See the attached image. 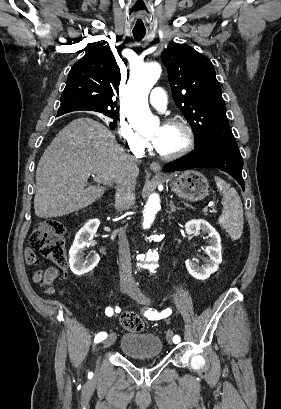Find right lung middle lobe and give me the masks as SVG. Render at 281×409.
<instances>
[{"label": "right lung middle lobe", "mask_w": 281, "mask_h": 409, "mask_svg": "<svg viewBox=\"0 0 281 409\" xmlns=\"http://www.w3.org/2000/svg\"><path fill=\"white\" fill-rule=\"evenodd\" d=\"M104 115L116 120L117 119V114L115 111H107V112H102Z\"/></svg>", "instance_id": "1"}]
</instances>
